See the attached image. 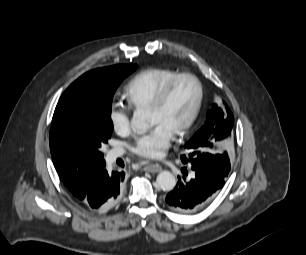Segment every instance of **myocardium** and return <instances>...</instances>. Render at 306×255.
Wrapping results in <instances>:
<instances>
[{"instance_id":"obj_1","label":"myocardium","mask_w":306,"mask_h":255,"mask_svg":"<svg viewBox=\"0 0 306 255\" xmlns=\"http://www.w3.org/2000/svg\"><path fill=\"white\" fill-rule=\"evenodd\" d=\"M182 78H190L196 83L198 87V97L194 110L190 115V117L187 119V121L184 124H182L177 130L173 132V135L175 137L183 136L195 124V122L197 121L200 115L205 95L204 86L201 80L193 73L189 72L178 73L170 81H168V83L159 91V93L155 96V98L148 107L149 111L160 109L166 102L174 85Z\"/></svg>"}]
</instances>
